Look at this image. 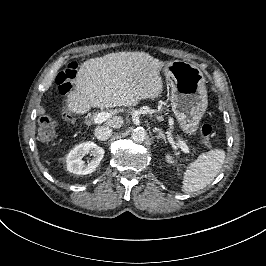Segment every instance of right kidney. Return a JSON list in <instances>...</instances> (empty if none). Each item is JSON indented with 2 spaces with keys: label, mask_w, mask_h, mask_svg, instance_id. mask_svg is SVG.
<instances>
[{
  "label": "right kidney",
  "mask_w": 266,
  "mask_h": 266,
  "mask_svg": "<svg viewBox=\"0 0 266 266\" xmlns=\"http://www.w3.org/2000/svg\"><path fill=\"white\" fill-rule=\"evenodd\" d=\"M90 154L92 157L87 161L83 158ZM73 160L74 173L85 175L93 172L104 156V150L93 142L77 145L69 155Z\"/></svg>",
  "instance_id": "right-kidney-1"
}]
</instances>
